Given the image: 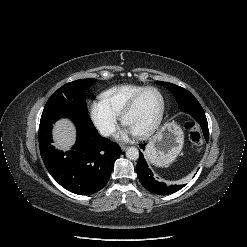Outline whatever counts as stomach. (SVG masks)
Returning <instances> with one entry per match:
<instances>
[{
  "mask_svg": "<svg viewBox=\"0 0 247 247\" xmlns=\"http://www.w3.org/2000/svg\"><path fill=\"white\" fill-rule=\"evenodd\" d=\"M184 133L176 123H167L156 132L146 147L147 159L156 166H168L180 154Z\"/></svg>",
  "mask_w": 247,
  "mask_h": 247,
  "instance_id": "1",
  "label": "stomach"
}]
</instances>
